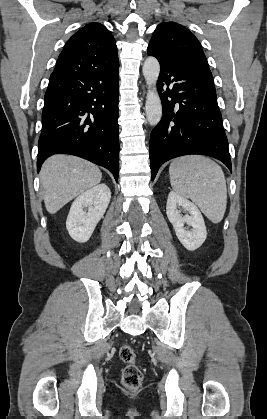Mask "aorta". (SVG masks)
Instances as JSON below:
<instances>
[{"label":"aorta","instance_id":"obj_1","mask_svg":"<svg viewBox=\"0 0 267 419\" xmlns=\"http://www.w3.org/2000/svg\"><path fill=\"white\" fill-rule=\"evenodd\" d=\"M160 65L155 57H148L143 65V75L148 86L145 111L148 123L156 126L162 118V104L156 89Z\"/></svg>","mask_w":267,"mask_h":419}]
</instances>
